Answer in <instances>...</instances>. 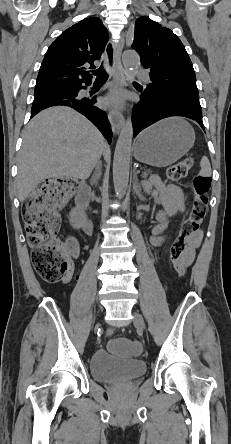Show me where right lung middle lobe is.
<instances>
[{
    "label": "right lung middle lobe",
    "instance_id": "1",
    "mask_svg": "<svg viewBox=\"0 0 231 444\" xmlns=\"http://www.w3.org/2000/svg\"><path fill=\"white\" fill-rule=\"evenodd\" d=\"M56 89H68V90H70V89H73V86H68V85L57 86L53 90H56Z\"/></svg>",
    "mask_w": 231,
    "mask_h": 444
}]
</instances>
